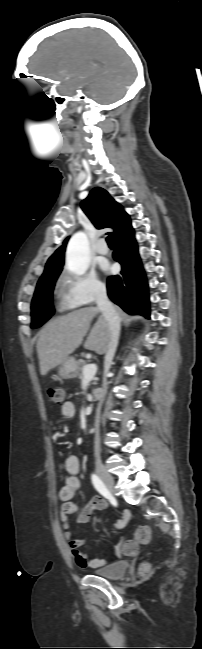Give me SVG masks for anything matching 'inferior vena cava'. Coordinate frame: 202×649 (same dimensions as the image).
<instances>
[{
  "mask_svg": "<svg viewBox=\"0 0 202 649\" xmlns=\"http://www.w3.org/2000/svg\"><path fill=\"white\" fill-rule=\"evenodd\" d=\"M96 304L97 308L103 313L109 324L110 340L108 343L107 351L105 353V365L106 368L109 369L118 346L121 318L117 309L109 301L105 286L98 288L96 292ZM105 393L106 383L104 384V388L100 391V397H104ZM94 452L96 455L100 453V442L97 436L94 442Z\"/></svg>",
  "mask_w": 202,
  "mask_h": 649,
  "instance_id": "obj_1",
  "label": "inferior vena cava"
}]
</instances>
